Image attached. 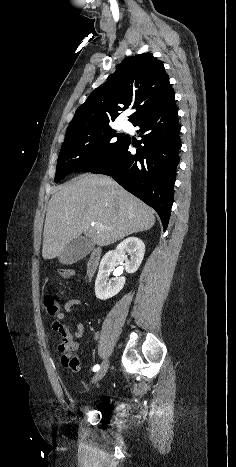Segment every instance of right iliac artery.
<instances>
[{"mask_svg":"<svg viewBox=\"0 0 236 467\" xmlns=\"http://www.w3.org/2000/svg\"><path fill=\"white\" fill-rule=\"evenodd\" d=\"M100 369V366L97 364L93 367V371L96 372Z\"/></svg>","mask_w":236,"mask_h":467,"instance_id":"obj_1","label":"right iliac artery"}]
</instances>
